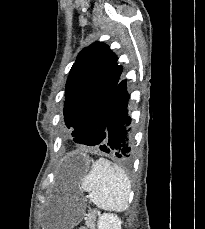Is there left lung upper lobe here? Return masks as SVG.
<instances>
[{
  "label": "left lung upper lobe",
  "instance_id": "5c2ea615",
  "mask_svg": "<svg viewBox=\"0 0 205 229\" xmlns=\"http://www.w3.org/2000/svg\"><path fill=\"white\" fill-rule=\"evenodd\" d=\"M122 70L116 55L101 42L84 48L77 56L66 83L63 109L65 124L72 129L76 143L96 145L89 136L93 129L103 125Z\"/></svg>",
  "mask_w": 205,
  "mask_h": 229
}]
</instances>
